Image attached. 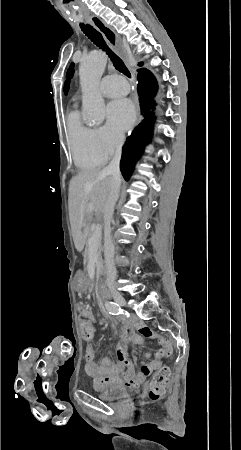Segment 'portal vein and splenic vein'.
<instances>
[{"label": "portal vein and splenic vein", "mask_w": 241, "mask_h": 450, "mask_svg": "<svg viewBox=\"0 0 241 450\" xmlns=\"http://www.w3.org/2000/svg\"><path fill=\"white\" fill-rule=\"evenodd\" d=\"M101 234H102V226L101 224H97V226H95L94 228V232H92L91 234V238H89L88 240L89 244H91V242H97V240L101 238Z\"/></svg>", "instance_id": "obj_1"}]
</instances>
